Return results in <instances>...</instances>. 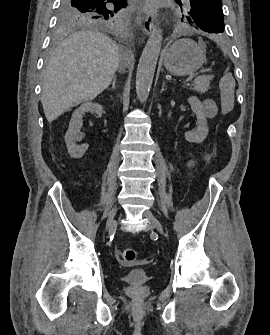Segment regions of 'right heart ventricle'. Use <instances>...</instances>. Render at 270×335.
<instances>
[{"mask_svg":"<svg viewBox=\"0 0 270 335\" xmlns=\"http://www.w3.org/2000/svg\"><path fill=\"white\" fill-rule=\"evenodd\" d=\"M138 78H142V77H138V71L135 74V81L138 82Z\"/></svg>","mask_w":270,"mask_h":335,"instance_id":"e07e8e85","label":"right heart ventricle"}]
</instances>
